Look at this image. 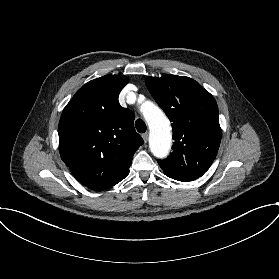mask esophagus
Segmentation results:
<instances>
[{
	"instance_id": "esophagus-1",
	"label": "esophagus",
	"mask_w": 279,
	"mask_h": 279,
	"mask_svg": "<svg viewBox=\"0 0 279 279\" xmlns=\"http://www.w3.org/2000/svg\"><path fill=\"white\" fill-rule=\"evenodd\" d=\"M142 138H143L144 142L147 143V141H148V132L143 133L142 134Z\"/></svg>"
}]
</instances>
